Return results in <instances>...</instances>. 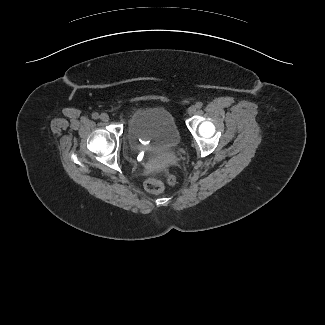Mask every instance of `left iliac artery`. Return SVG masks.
<instances>
[{"instance_id":"1","label":"left iliac artery","mask_w":325,"mask_h":325,"mask_svg":"<svg viewBox=\"0 0 325 325\" xmlns=\"http://www.w3.org/2000/svg\"><path fill=\"white\" fill-rule=\"evenodd\" d=\"M202 106H203V103H202V102H197V103H196V108H197V109L202 108Z\"/></svg>"}]
</instances>
